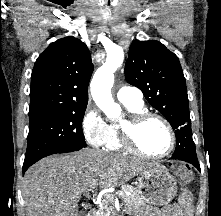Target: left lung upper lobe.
<instances>
[{"mask_svg":"<svg viewBox=\"0 0 221 216\" xmlns=\"http://www.w3.org/2000/svg\"><path fill=\"white\" fill-rule=\"evenodd\" d=\"M124 72L127 82L139 88L169 121L175 130L176 144L195 150L186 81L178 57L158 41L135 40Z\"/></svg>","mask_w":221,"mask_h":216,"instance_id":"left-lung-upper-lobe-1","label":"left lung upper lobe"}]
</instances>
